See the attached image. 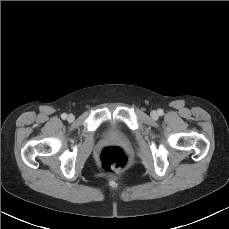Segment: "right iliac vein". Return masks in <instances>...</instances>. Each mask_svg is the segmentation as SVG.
<instances>
[{"instance_id": "1", "label": "right iliac vein", "mask_w": 229, "mask_h": 229, "mask_svg": "<svg viewBox=\"0 0 229 229\" xmlns=\"http://www.w3.org/2000/svg\"><path fill=\"white\" fill-rule=\"evenodd\" d=\"M67 119L69 122H72L75 119V117L73 114H69Z\"/></svg>"}]
</instances>
